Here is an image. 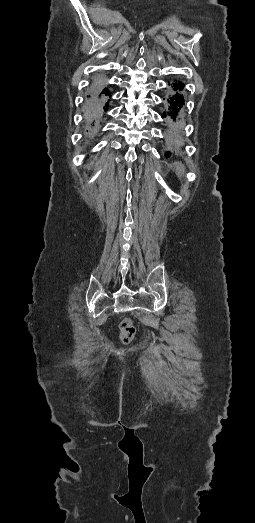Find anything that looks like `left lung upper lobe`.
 <instances>
[{"label": "left lung upper lobe", "instance_id": "obj_1", "mask_svg": "<svg viewBox=\"0 0 255 523\" xmlns=\"http://www.w3.org/2000/svg\"><path fill=\"white\" fill-rule=\"evenodd\" d=\"M180 86H183V84L181 83ZM179 96H181V95H180V94H177V97H179ZM167 100H168V99H167ZM171 100H175V98H171ZM169 104H171V103H169ZM171 109H174V107H171ZM169 110H170V109H168V111H169ZM173 113H178V112H173ZM162 116H163V114L161 115V117H162ZM169 117H170V116H169ZM165 118H166V116H165ZM173 120H174V119H173ZM173 128H174V126H173Z\"/></svg>", "mask_w": 255, "mask_h": 523}]
</instances>
